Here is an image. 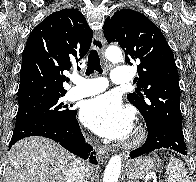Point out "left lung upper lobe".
<instances>
[{
    "mask_svg": "<svg viewBox=\"0 0 196 182\" xmlns=\"http://www.w3.org/2000/svg\"><path fill=\"white\" fill-rule=\"evenodd\" d=\"M103 29L109 43L118 42L122 47L126 63L138 64V91L127 98L147 127L164 123L182 131L178 70L159 28L143 14L121 9L106 19Z\"/></svg>",
    "mask_w": 196,
    "mask_h": 182,
    "instance_id": "obj_1",
    "label": "left lung upper lobe"
}]
</instances>
